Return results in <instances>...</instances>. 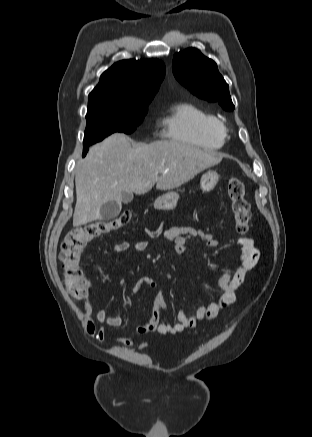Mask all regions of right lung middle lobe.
I'll list each match as a JSON object with an SVG mask.
<instances>
[{"mask_svg": "<svg viewBox=\"0 0 312 437\" xmlns=\"http://www.w3.org/2000/svg\"><path fill=\"white\" fill-rule=\"evenodd\" d=\"M146 113L147 109L139 112L87 111L83 156L88 152L90 145L102 141L112 133L122 132L128 134L133 132L136 126L142 122Z\"/></svg>", "mask_w": 312, "mask_h": 437, "instance_id": "1", "label": "right lung middle lobe"}]
</instances>
